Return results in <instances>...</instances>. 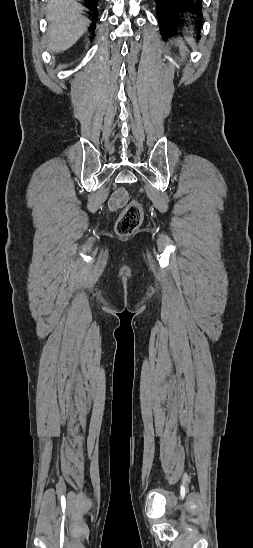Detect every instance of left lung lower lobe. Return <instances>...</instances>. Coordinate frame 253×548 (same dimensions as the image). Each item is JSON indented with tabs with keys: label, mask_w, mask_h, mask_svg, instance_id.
<instances>
[{
	"label": "left lung lower lobe",
	"mask_w": 253,
	"mask_h": 548,
	"mask_svg": "<svg viewBox=\"0 0 253 548\" xmlns=\"http://www.w3.org/2000/svg\"><path fill=\"white\" fill-rule=\"evenodd\" d=\"M155 2L160 31L163 36H167L179 24L177 18L180 14L191 13L198 19L202 18L201 0H155Z\"/></svg>",
	"instance_id": "obj_1"
}]
</instances>
